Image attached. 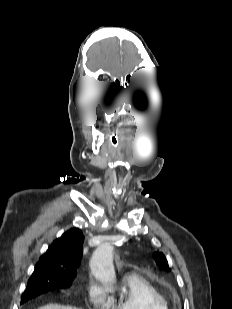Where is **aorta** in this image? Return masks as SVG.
Here are the masks:
<instances>
[{
  "label": "aorta",
  "instance_id": "1",
  "mask_svg": "<svg viewBox=\"0 0 232 309\" xmlns=\"http://www.w3.org/2000/svg\"><path fill=\"white\" fill-rule=\"evenodd\" d=\"M90 266L92 274L97 280L105 284L116 282L113 267V246L111 244H103L94 251Z\"/></svg>",
  "mask_w": 232,
  "mask_h": 309
}]
</instances>
